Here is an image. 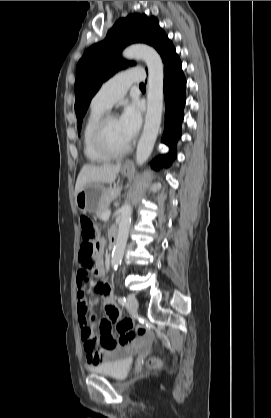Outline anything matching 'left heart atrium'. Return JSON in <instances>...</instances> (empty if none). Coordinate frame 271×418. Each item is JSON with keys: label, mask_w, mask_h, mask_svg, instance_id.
I'll return each instance as SVG.
<instances>
[{"label": "left heart atrium", "mask_w": 271, "mask_h": 418, "mask_svg": "<svg viewBox=\"0 0 271 418\" xmlns=\"http://www.w3.org/2000/svg\"><path fill=\"white\" fill-rule=\"evenodd\" d=\"M120 126L126 138L130 141L140 129L142 118L136 103H130L124 108L119 118Z\"/></svg>", "instance_id": "39dd6f15"}]
</instances>
